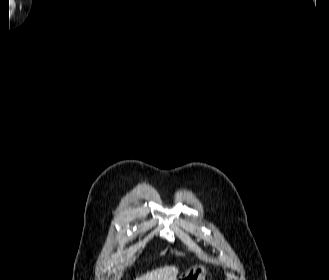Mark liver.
Wrapping results in <instances>:
<instances>
[{
  "label": "liver",
  "mask_w": 329,
  "mask_h": 280,
  "mask_svg": "<svg viewBox=\"0 0 329 280\" xmlns=\"http://www.w3.org/2000/svg\"><path fill=\"white\" fill-rule=\"evenodd\" d=\"M178 268L174 265L164 266L148 271L134 280H177Z\"/></svg>",
  "instance_id": "1"
}]
</instances>
